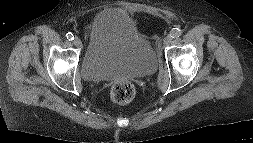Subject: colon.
Segmentation results:
<instances>
[{
    "mask_svg": "<svg viewBox=\"0 0 253 143\" xmlns=\"http://www.w3.org/2000/svg\"><path fill=\"white\" fill-rule=\"evenodd\" d=\"M135 88L127 80H119L111 85L110 99L118 104H127L133 100Z\"/></svg>",
    "mask_w": 253,
    "mask_h": 143,
    "instance_id": "obj_1",
    "label": "colon"
}]
</instances>
